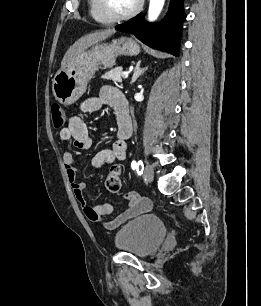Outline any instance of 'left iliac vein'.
Listing matches in <instances>:
<instances>
[{
	"mask_svg": "<svg viewBox=\"0 0 261 306\" xmlns=\"http://www.w3.org/2000/svg\"><path fill=\"white\" fill-rule=\"evenodd\" d=\"M144 178L147 182H152L154 178V169L153 166L150 164H147L144 169Z\"/></svg>",
	"mask_w": 261,
	"mask_h": 306,
	"instance_id": "left-iliac-vein-1",
	"label": "left iliac vein"
}]
</instances>
